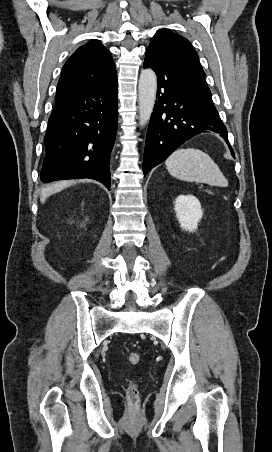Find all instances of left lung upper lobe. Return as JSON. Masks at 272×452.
Wrapping results in <instances>:
<instances>
[{
    "label": "left lung upper lobe",
    "instance_id": "1",
    "mask_svg": "<svg viewBox=\"0 0 272 452\" xmlns=\"http://www.w3.org/2000/svg\"><path fill=\"white\" fill-rule=\"evenodd\" d=\"M147 52L178 62L206 77L191 43L169 29H161L153 36Z\"/></svg>",
    "mask_w": 272,
    "mask_h": 452
}]
</instances>
